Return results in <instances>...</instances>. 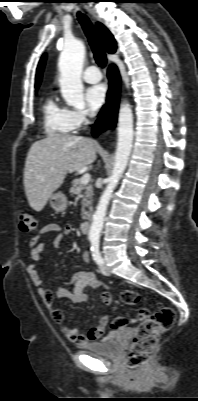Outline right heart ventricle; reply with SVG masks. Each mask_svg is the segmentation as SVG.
Segmentation results:
<instances>
[{"label": "right heart ventricle", "instance_id": "1", "mask_svg": "<svg viewBox=\"0 0 198 401\" xmlns=\"http://www.w3.org/2000/svg\"><path fill=\"white\" fill-rule=\"evenodd\" d=\"M43 124L48 135H68L74 131L70 110L57 102L53 94L42 103Z\"/></svg>", "mask_w": 198, "mask_h": 401}]
</instances>
